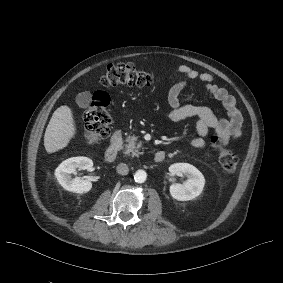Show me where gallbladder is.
<instances>
[{"label": "gallbladder", "mask_w": 283, "mask_h": 283, "mask_svg": "<svg viewBox=\"0 0 283 283\" xmlns=\"http://www.w3.org/2000/svg\"><path fill=\"white\" fill-rule=\"evenodd\" d=\"M75 101L78 107L82 109L88 108L91 102V92L85 91V92L78 93L76 95Z\"/></svg>", "instance_id": "obj_1"}]
</instances>
